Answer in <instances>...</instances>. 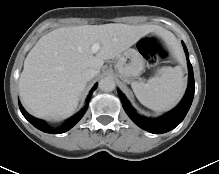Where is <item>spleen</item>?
<instances>
[{
    "instance_id": "obj_1",
    "label": "spleen",
    "mask_w": 219,
    "mask_h": 174,
    "mask_svg": "<svg viewBox=\"0 0 219 174\" xmlns=\"http://www.w3.org/2000/svg\"><path fill=\"white\" fill-rule=\"evenodd\" d=\"M180 66L164 67L145 82H132L137 99L147 108L164 111L174 106L182 97L185 84Z\"/></svg>"
}]
</instances>
